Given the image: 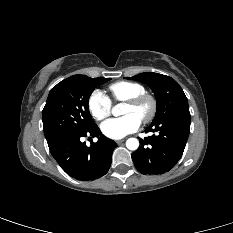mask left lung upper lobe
<instances>
[{
	"mask_svg": "<svg viewBox=\"0 0 233 233\" xmlns=\"http://www.w3.org/2000/svg\"><path fill=\"white\" fill-rule=\"evenodd\" d=\"M127 79L147 84L155 93L157 111L152 124L161 121L171 114L189 109L188 100L182 88L169 76L146 72L127 77Z\"/></svg>",
	"mask_w": 233,
	"mask_h": 233,
	"instance_id": "left-lung-upper-lobe-1",
	"label": "left lung upper lobe"
}]
</instances>
